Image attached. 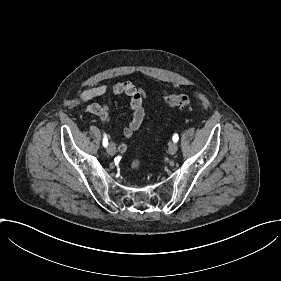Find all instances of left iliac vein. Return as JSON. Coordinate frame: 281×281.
Here are the masks:
<instances>
[{"instance_id": "obj_1", "label": "left iliac vein", "mask_w": 281, "mask_h": 281, "mask_svg": "<svg viewBox=\"0 0 281 281\" xmlns=\"http://www.w3.org/2000/svg\"><path fill=\"white\" fill-rule=\"evenodd\" d=\"M169 149H170L169 150L170 153L174 155L177 153L178 146H177V144L172 143V144H170Z\"/></svg>"}]
</instances>
